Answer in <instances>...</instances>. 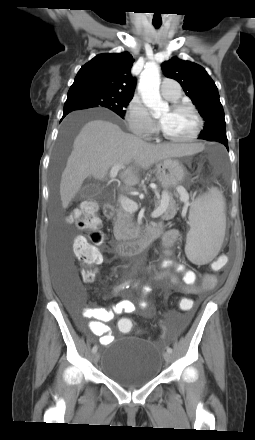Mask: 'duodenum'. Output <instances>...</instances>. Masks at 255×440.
<instances>
[{
	"label": "duodenum",
	"mask_w": 255,
	"mask_h": 440,
	"mask_svg": "<svg viewBox=\"0 0 255 440\" xmlns=\"http://www.w3.org/2000/svg\"><path fill=\"white\" fill-rule=\"evenodd\" d=\"M103 212L107 218H112L115 214V206L107 202L103 206ZM161 233L162 227L160 225L147 226L137 238L130 241H119L116 250L121 256L138 254L151 245Z\"/></svg>",
	"instance_id": "1"
}]
</instances>
